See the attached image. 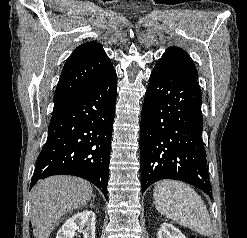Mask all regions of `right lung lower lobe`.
I'll return each instance as SVG.
<instances>
[{
    "label": "right lung lower lobe",
    "instance_id": "98d812e1",
    "mask_svg": "<svg viewBox=\"0 0 247 238\" xmlns=\"http://www.w3.org/2000/svg\"><path fill=\"white\" fill-rule=\"evenodd\" d=\"M115 101L113 70L73 100L53 109L30 188L52 175H74L92 182L107 198Z\"/></svg>",
    "mask_w": 247,
    "mask_h": 238
}]
</instances>
